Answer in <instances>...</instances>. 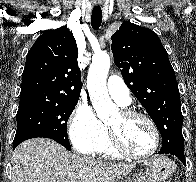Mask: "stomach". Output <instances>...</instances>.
Listing matches in <instances>:
<instances>
[{
    "label": "stomach",
    "instance_id": "stomach-1",
    "mask_svg": "<svg viewBox=\"0 0 196 182\" xmlns=\"http://www.w3.org/2000/svg\"><path fill=\"white\" fill-rule=\"evenodd\" d=\"M144 165L143 175L136 174L125 182H163L174 172V163L165 156H155Z\"/></svg>",
    "mask_w": 196,
    "mask_h": 182
}]
</instances>
